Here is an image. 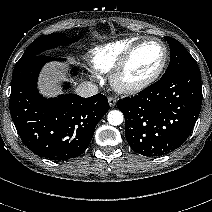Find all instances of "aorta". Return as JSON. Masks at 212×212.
I'll use <instances>...</instances> for the list:
<instances>
[{"label": "aorta", "instance_id": "aorta-1", "mask_svg": "<svg viewBox=\"0 0 212 212\" xmlns=\"http://www.w3.org/2000/svg\"><path fill=\"white\" fill-rule=\"evenodd\" d=\"M107 120L109 124L113 126H118L122 124L124 116L123 113L119 110H111L107 115Z\"/></svg>", "mask_w": 212, "mask_h": 212}]
</instances>
